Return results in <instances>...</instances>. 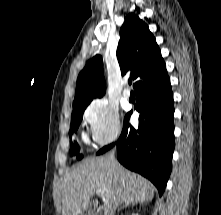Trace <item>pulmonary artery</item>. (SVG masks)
<instances>
[{"mask_svg":"<svg viewBox=\"0 0 221 215\" xmlns=\"http://www.w3.org/2000/svg\"><path fill=\"white\" fill-rule=\"evenodd\" d=\"M130 95H131L130 90H129V89H124V91H123V97H124L125 99H129V98H130Z\"/></svg>","mask_w":221,"mask_h":215,"instance_id":"pulmonary-artery-1","label":"pulmonary artery"}]
</instances>
